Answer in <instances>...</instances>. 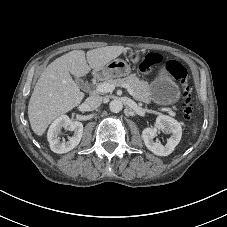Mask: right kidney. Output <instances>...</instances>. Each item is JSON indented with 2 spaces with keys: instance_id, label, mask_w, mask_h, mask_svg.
Here are the masks:
<instances>
[{
  "instance_id": "1",
  "label": "right kidney",
  "mask_w": 227,
  "mask_h": 227,
  "mask_svg": "<svg viewBox=\"0 0 227 227\" xmlns=\"http://www.w3.org/2000/svg\"><path fill=\"white\" fill-rule=\"evenodd\" d=\"M62 128L74 131L73 136L69 137L68 141H60L59 133ZM82 134L83 124L81 122L73 121L67 115H62L50 125L47 139L51 150L55 153L62 154L74 149L80 143Z\"/></svg>"
}]
</instances>
